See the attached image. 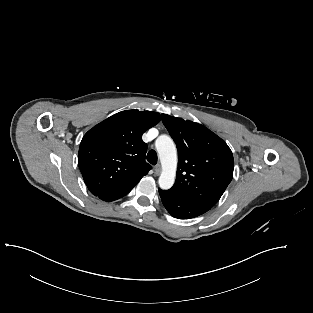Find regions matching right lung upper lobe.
Instances as JSON below:
<instances>
[{
  "mask_svg": "<svg viewBox=\"0 0 313 313\" xmlns=\"http://www.w3.org/2000/svg\"><path fill=\"white\" fill-rule=\"evenodd\" d=\"M157 112L126 110L90 129L83 137L78 164L88 189L95 196L137 184L151 166L142 134L159 123Z\"/></svg>",
  "mask_w": 313,
  "mask_h": 313,
  "instance_id": "right-lung-upper-lobe-1",
  "label": "right lung upper lobe"
}]
</instances>
